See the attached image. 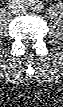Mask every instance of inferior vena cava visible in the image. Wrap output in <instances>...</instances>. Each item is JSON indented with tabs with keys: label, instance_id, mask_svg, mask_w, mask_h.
I'll return each mask as SVG.
<instances>
[{
	"label": "inferior vena cava",
	"instance_id": "inferior-vena-cava-1",
	"mask_svg": "<svg viewBox=\"0 0 63 107\" xmlns=\"http://www.w3.org/2000/svg\"><path fill=\"white\" fill-rule=\"evenodd\" d=\"M17 13H23L26 11V8L24 6H21L20 4L16 5L15 6V9H14Z\"/></svg>",
	"mask_w": 63,
	"mask_h": 107
}]
</instances>
